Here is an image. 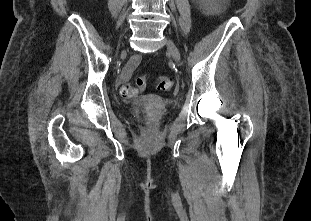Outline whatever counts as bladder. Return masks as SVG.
Instances as JSON below:
<instances>
[{
    "instance_id": "31cf9c89",
    "label": "bladder",
    "mask_w": 311,
    "mask_h": 221,
    "mask_svg": "<svg viewBox=\"0 0 311 221\" xmlns=\"http://www.w3.org/2000/svg\"><path fill=\"white\" fill-rule=\"evenodd\" d=\"M144 99H145L146 101H150L152 98H151V95H146V96L144 97Z\"/></svg>"
}]
</instances>
